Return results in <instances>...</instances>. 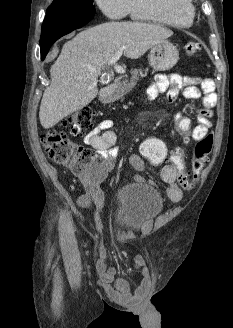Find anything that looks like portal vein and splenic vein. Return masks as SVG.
I'll list each match as a JSON object with an SVG mask.
<instances>
[{"mask_svg":"<svg viewBox=\"0 0 233 328\" xmlns=\"http://www.w3.org/2000/svg\"><path fill=\"white\" fill-rule=\"evenodd\" d=\"M125 47L122 46L118 49V51L111 57V59L109 60L108 62V65H113L116 63V61L122 56V53L124 51ZM88 69L92 72L96 71L95 68L93 67H88ZM114 70L117 72V73H125V70L123 69V67L121 66H117L115 65L114 66Z\"/></svg>","mask_w":233,"mask_h":328,"instance_id":"18ae733b","label":"portal vein and splenic vein"}]
</instances>
